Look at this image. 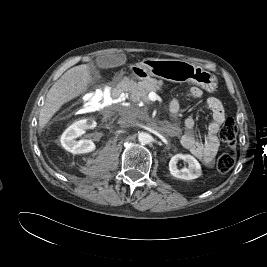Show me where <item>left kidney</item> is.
I'll use <instances>...</instances> for the list:
<instances>
[{"label":"left kidney","mask_w":267,"mask_h":267,"mask_svg":"<svg viewBox=\"0 0 267 267\" xmlns=\"http://www.w3.org/2000/svg\"><path fill=\"white\" fill-rule=\"evenodd\" d=\"M183 159L188 163V168H177L178 159ZM170 174L178 179L192 180L201 176L202 170L199 162L192 155L189 154H178L171 158L169 162Z\"/></svg>","instance_id":"left-kidney-1"}]
</instances>
